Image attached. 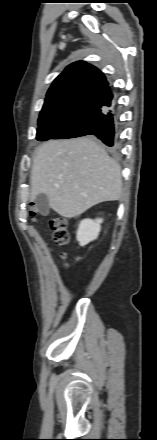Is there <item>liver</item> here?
Here are the masks:
<instances>
[{"instance_id": "liver-1", "label": "liver", "mask_w": 157, "mask_h": 440, "mask_svg": "<svg viewBox=\"0 0 157 440\" xmlns=\"http://www.w3.org/2000/svg\"><path fill=\"white\" fill-rule=\"evenodd\" d=\"M30 184L31 200L43 193L55 212L73 218L120 199L121 167L90 138L53 140L37 149Z\"/></svg>"}]
</instances>
